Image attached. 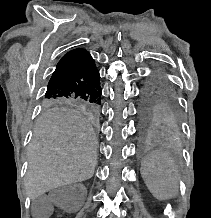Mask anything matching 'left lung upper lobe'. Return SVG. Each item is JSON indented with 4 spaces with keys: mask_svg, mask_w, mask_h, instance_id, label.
Returning <instances> with one entry per match:
<instances>
[{
    "mask_svg": "<svg viewBox=\"0 0 211 218\" xmlns=\"http://www.w3.org/2000/svg\"><path fill=\"white\" fill-rule=\"evenodd\" d=\"M140 110L144 130L156 129L166 123L178 121L176 93L160 72L153 73L145 84Z\"/></svg>",
    "mask_w": 211,
    "mask_h": 218,
    "instance_id": "1",
    "label": "left lung upper lobe"
}]
</instances>
